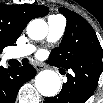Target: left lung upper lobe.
Here are the masks:
<instances>
[{"mask_svg": "<svg viewBox=\"0 0 103 103\" xmlns=\"http://www.w3.org/2000/svg\"><path fill=\"white\" fill-rule=\"evenodd\" d=\"M67 19L65 35L59 47L50 53L48 62L61 69H69L93 54L103 56V49L91 25L79 14L60 8Z\"/></svg>", "mask_w": 103, "mask_h": 103, "instance_id": "obj_1", "label": "left lung upper lobe"}]
</instances>
